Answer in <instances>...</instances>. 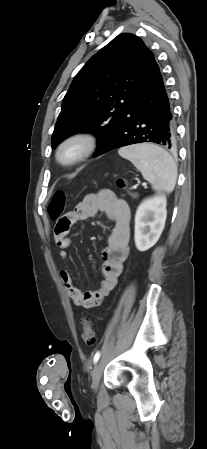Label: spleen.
Returning a JSON list of instances; mask_svg holds the SVG:
<instances>
[{
    "label": "spleen",
    "mask_w": 207,
    "mask_h": 449,
    "mask_svg": "<svg viewBox=\"0 0 207 449\" xmlns=\"http://www.w3.org/2000/svg\"><path fill=\"white\" fill-rule=\"evenodd\" d=\"M121 157L131 161L153 190L171 193L177 180V166L171 155L163 148L142 143L118 150Z\"/></svg>",
    "instance_id": "3e777b00"
}]
</instances>
